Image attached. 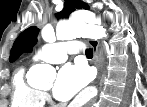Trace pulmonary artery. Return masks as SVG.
<instances>
[{
    "instance_id": "1",
    "label": "pulmonary artery",
    "mask_w": 147,
    "mask_h": 107,
    "mask_svg": "<svg viewBox=\"0 0 147 107\" xmlns=\"http://www.w3.org/2000/svg\"><path fill=\"white\" fill-rule=\"evenodd\" d=\"M80 50V44L75 41L60 42V43H49L43 45L34 60L44 61L49 63H62L64 62L69 54L78 52Z\"/></svg>"
}]
</instances>
